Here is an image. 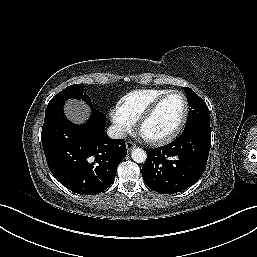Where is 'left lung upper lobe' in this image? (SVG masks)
<instances>
[{"mask_svg":"<svg viewBox=\"0 0 257 257\" xmlns=\"http://www.w3.org/2000/svg\"><path fill=\"white\" fill-rule=\"evenodd\" d=\"M184 90L190 106L184 131L193 128L210 130V114L206 103L192 89L184 87Z\"/></svg>","mask_w":257,"mask_h":257,"instance_id":"1","label":"left lung upper lobe"}]
</instances>
